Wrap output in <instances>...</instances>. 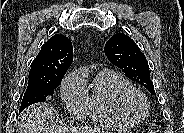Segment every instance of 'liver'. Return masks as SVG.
<instances>
[{
    "label": "liver",
    "instance_id": "6515ba94",
    "mask_svg": "<svg viewBox=\"0 0 184 133\" xmlns=\"http://www.w3.org/2000/svg\"><path fill=\"white\" fill-rule=\"evenodd\" d=\"M20 120L18 133H105L90 127H59L55 123L54 108L47 103L26 108Z\"/></svg>",
    "mask_w": 184,
    "mask_h": 133
}]
</instances>
